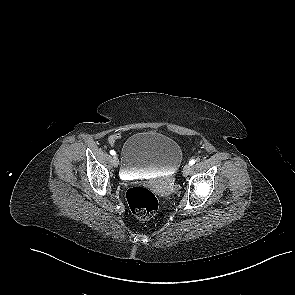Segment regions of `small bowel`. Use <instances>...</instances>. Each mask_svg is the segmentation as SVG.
I'll return each mask as SVG.
<instances>
[{"label": "small bowel", "mask_w": 295, "mask_h": 295, "mask_svg": "<svg viewBox=\"0 0 295 295\" xmlns=\"http://www.w3.org/2000/svg\"><path fill=\"white\" fill-rule=\"evenodd\" d=\"M120 137V132H114L108 138V142L110 145H114L116 140Z\"/></svg>", "instance_id": "c3829d8e"}]
</instances>
